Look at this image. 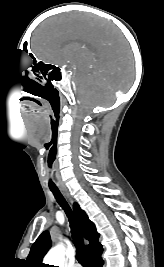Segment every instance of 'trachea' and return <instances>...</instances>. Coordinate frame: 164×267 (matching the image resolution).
I'll return each mask as SVG.
<instances>
[{
    "label": "trachea",
    "mask_w": 164,
    "mask_h": 267,
    "mask_svg": "<svg viewBox=\"0 0 164 267\" xmlns=\"http://www.w3.org/2000/svg\"><path fill=\"white\" fill-rule=\"evenodd\" d=\"M50 190L53 192L57 202L60 204V206L64 209L69 222H70V227H71V233H72V238L73 242L76 247V258L78 262L83 266L87 267L88 263L86 260V253L84 249V243H83V237L81 234L80 227L76 221V218L69 207L68 203L64 199L63 195L60 193L59 189L55 186H50Z\"/></svg>",
    "instance_id": "3493384b"
}]
</instances>
